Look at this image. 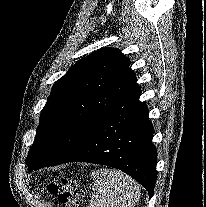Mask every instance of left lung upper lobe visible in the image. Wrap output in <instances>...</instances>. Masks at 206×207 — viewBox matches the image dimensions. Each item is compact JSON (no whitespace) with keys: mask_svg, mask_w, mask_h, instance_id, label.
<instances>
[{"mask_svg":"<svg viewBox=\"0 0 206 207\" xmlns=\"http://www.w3.org/2000/svg\"><path fill=\"white\" fill-rule=\"evenodd\" d=\"M129 64L120 50L103 48L55 82L26 158L30 168L65 160L83 144L100 117L136 81Z\"/></svg>","mask_w":206,"mask_h":207,"instance_id":"left-lung-upper-lobe-1","label":"left lung upper lobe"}]
</instances>
